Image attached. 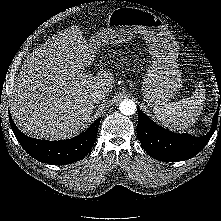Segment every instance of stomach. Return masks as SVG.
<instances>
[{
    "label": "stomach",
    "instance_id": "stomach-1",
    "mask_svg": "<svg viewBox=\"0 0 221 221\" xmlns=\"http://www.w3.org/2000/svg\"><path fill=\"white\" fill-rule=\"evenodd\" d=\"M137 33L148 44L152 63L142 83L144 100L150 106L167 103L182 87L177 64L178 44L168 26L150 11L137 7L114 9L107 19V27L90 39L95 48L131 40Z\"/></svg>",
    "mask_w": 221,
    "mask_h": 221
}]
</instances>
